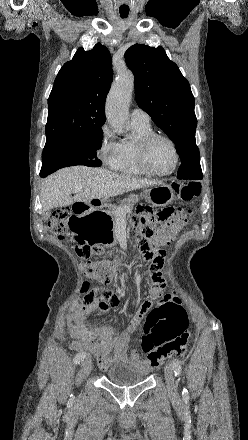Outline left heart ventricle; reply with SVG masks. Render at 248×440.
Here are the masks:
<instances>
[{"label": "left heart ventricle", "instance_id": "obj_1", "mask_svg": "<svg viewBox=\"0 0 248 440\" xmlns=\"http://www.w3.org/2000/svg\"><path fill=\"white\" fill-rule=\"evenodd\" d=\"M174 160V153L169 143L164 140H157L152 144L148 161L154 171H169L173 167Z\"/></svg>", "mask_w": 248, "mask_h": 440}]
</instances>
